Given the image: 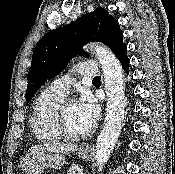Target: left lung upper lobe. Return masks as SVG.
<instances>
[{
    "instance_id": "left-lung-upper-lobe-1",
    "label": "left lung upper lobe",
    "mask_w": 175,
    "mask_h": 174,
    "mask_svg": "<svg viewBox=\"0 0 175 174\" xmlns=\"http://www.w3.org/2000/svg\"><path fill=\"white\" fill-rule=\"evenodd\" d=\"M91 41L106 44L116 56L126 46L118 21L103 8L47 33L37 44L32 56L26 101L47 79L59 74L72 57L89 55L82 51V46Z\"/></svg>"
}]
</instances>
